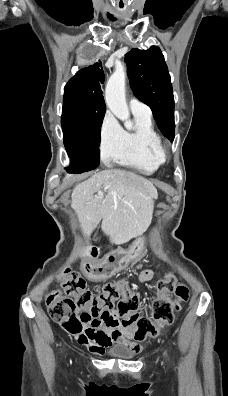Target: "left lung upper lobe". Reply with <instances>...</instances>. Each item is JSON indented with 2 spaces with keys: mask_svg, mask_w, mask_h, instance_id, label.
I'll use <instances>...</instances> for the list:
<instances>
[{
  "mask_svg": "<svg viewBox=\"0 0 228 396\" xmlns=\"http://www.w3.org/2000/svg\"><path fill=\"white\" fill-rule=\"evenodd\" d=\"M125 62L134 95L151 108L160 131L173 141L174 97L170 75L160 48H134L126 54Z\"/></svg>",
  "mask_w": 228,
  "mask_h": 396,
  "instance_id": "obj_1",
  "label": "left lung upper lobe"
}]
</instances>
